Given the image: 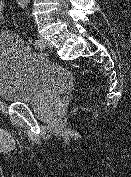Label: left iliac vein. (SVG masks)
I'll list each match as a JSON object with an SVG mask.
<instances>
[{
    "instance_id": "left-iliac-vein-1",
    "label": "left iliac vein",
    "mask_w": 131,
    "mask_h": 177,
    "mask_svg": "<svg viewBox=\"0 0 131 177\" xmlns=\"http://www.w3.org/2000/svg\"><path fill=\"white\" fill-rule=\"evenodd\" d=\"M38 41L41 43V47L38 49L44 50L45 48H52V44L45 40L42 36H38Z\"/></svg>"
}]
</instances>
